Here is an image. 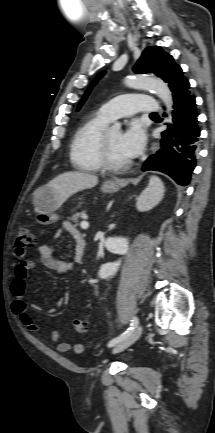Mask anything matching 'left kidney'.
<instances>
[{
  "mask_svg": "<svg viewBox=\"0 0 215 433\" xmlns=\"http://www.w3.org/2000/svg\"><path fill=\"white\" fill-rule=\"evenodd\" d=\"M106 249L114 254L125 255L129 249V240L124 237H109L105 242ZM121 264V260L108 262L100 267L98 277L108 279L114 276Z\"/></svg>",
  "mask_w": 215,
  "mask_h": 433,
  "instance_id": "1",
  "label": "left kidney"
}]
</instances>
